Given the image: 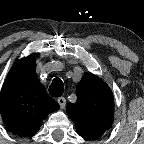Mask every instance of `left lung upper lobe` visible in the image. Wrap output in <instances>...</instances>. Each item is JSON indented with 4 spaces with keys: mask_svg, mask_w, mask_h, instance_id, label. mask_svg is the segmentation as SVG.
Segmentation results:
<instances>
[{
    "mask_svg": "<svg viewBox=\"0 0 144 144\" xmlns=\"http://www.w3.org/2000/svg\"><path fill=\"white\" fill-rule=\"evenodd\" d=\"M77 101L67 105L77 133L95 140L109 130L114 118V99L111 89L97 76L86 73L77 86Z\"/></svg>",
    "mask_w": 144,
    "mask_h": 144,
    "instance_id": "obj_1",
    "label": "left lung upper lobe"
}]
</instances>
